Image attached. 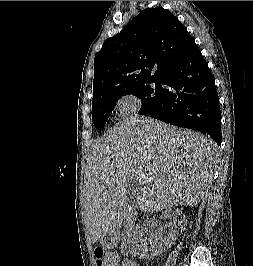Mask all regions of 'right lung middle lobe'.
<instances>
[{
	"label": "right lung middle lobe",
	"mask_w": 253,
	"mask_h": 266,
	"mask_svg": "<svg viewBox=\"0 0 253 266\" xmlns=\"http://www.w3.org/2000/svg\"><path fill=\"white\" fill-rule=\"evenodd\" d=\"M151 82H154L155 86H150L149 83ZM161 84V80L150 81L130 90L107 95L92 103V121L95 127L102 130L118 99L128 94L141 99L142 105L139 114L148 115L162 99L163 88Z\"/></svg>",
	"instance_id": "obj_1"
}]
</instances>
